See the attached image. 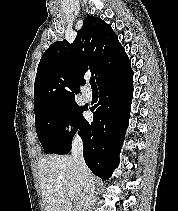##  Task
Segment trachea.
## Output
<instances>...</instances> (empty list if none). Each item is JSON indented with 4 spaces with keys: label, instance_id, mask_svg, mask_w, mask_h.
<instances>
[{
    "label": "trachea",
    "instance_id": "1",
    "mask_svg": "<svg viewBox=\"0 0 178 211\" xmlns=\"http://www.w3.org/2000/svg\"><path fill=\"white\" fill-rule=\"evenodd\" d=\"M89 83H90L92 89L97 88L96 83H95V77H91Z\"/></svg>",
    "mask_w": 178,
    "mask_h": 211
}]
</instances>
